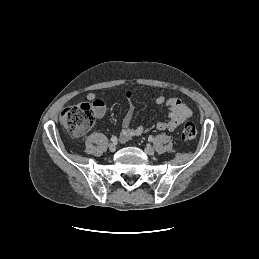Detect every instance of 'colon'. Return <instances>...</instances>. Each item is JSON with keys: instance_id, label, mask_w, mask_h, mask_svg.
<instances>
[{"instance_id": "obj_1", "label": "colon", "mask_w": 259, "mask_h": 259, "mask_svg": "<svg viewBox=\"0 0 259 259\" xmlns=\"http://www.w3.org/2000/svg\"><path fill=\"white\" fill-rule=\"evenodd\" d=\"M95 104L79 103L66 107L60 115L63 127L76 136L85 134L94 124ZM182 138L192 141L197 137V129L193 123H186L182 129Z\"/></svg>"}]
</instances>
